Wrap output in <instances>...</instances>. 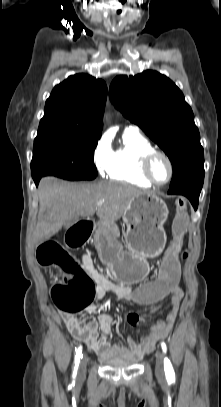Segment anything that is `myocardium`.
<instances>
[{
    "label": "myocardium",
    "instance_id": "f54148a6",
    "mask_svg": "<svg viewBox=\"0 0 221 407\" xmlns=\"http://www.w3.org/2000/svg\"><path fill=\"white\" fill-rule=\"evenodd\" d=\"M157 156H161L163 157L168 166H169V177L167 178L166 181L164 182H158L154 179L152 172H151V165L153 160L157 157ZM141 171L143 176L152 184L155 186H165L168 183H170V181L172 180L173 176H174V165L173 162L170 158V156L160 150H152L150 152H148L143 158H142V162H141Z\"/></svg>",
    "mask_w": 221,
    "mask_h": 407
}]
</instances>
